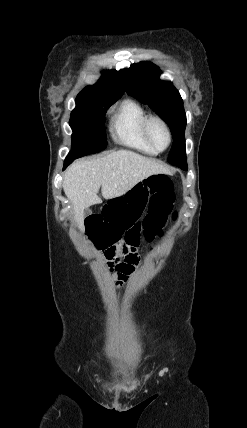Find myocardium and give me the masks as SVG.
Instances as JSON below:
<instances>
[{"label":"myocardium","instance_id":"myocardium-1","mask_svg":"<svg viewBox=\"0 0 247 428\" xmlns=\"http://www.w3.org/2000/svg\"><path fill=\"white\" fill-rule=\"evenodd\" d=\"M154 123H157V124L161 125V126H162V128L165 130V132H166V134H167L168 142H167V145H166L164 148H159V147L155 144V142H154V140H153V138H152V135H151V127H152V125H153ZM143 132H144V136H145L146 140L148 141V143H149V144H150V145H151L155 150H157L158 152H163V151H165L166 149H168V148L170 147V145H171V143H172V133H171L170 127H169V125L166 123V121H165L163 118H161L160 116H156V115L148 116V117L145 119L144 124H143Z\"/></svg>","mask_w":247,"mask_h":428}]
</instances>
